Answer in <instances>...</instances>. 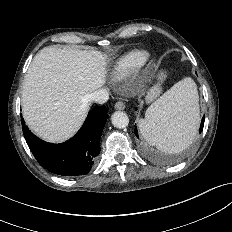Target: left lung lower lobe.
I'll use <instances>...</instances> for the list:
<instances>
[{
    "mask_svg": "<svg viewBox=\"0 0 232 232\" xmlns=\"http://www.w3.org/2000/svg\"><path fill=\"white\" fill-rule=\"evenodd\" d=\"M204 120H205V117L202 118V122H201L200 129H199L200 133H201L202 130H203ZM135 135L138 137L137 128H135Z\"/></svg>",
    "mask_w": 232,
    "mask_h": 232,
    "instance_id": "1",
    "label": "left lung lower lobe"
}]
</instances>
